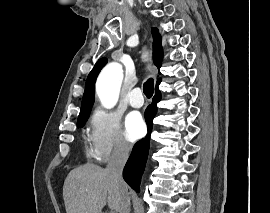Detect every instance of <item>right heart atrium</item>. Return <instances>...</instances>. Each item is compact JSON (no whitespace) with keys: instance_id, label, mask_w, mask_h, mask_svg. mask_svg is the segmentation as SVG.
<instances>
[{"instance_id":"obj_1","label":"right heart atrium","mask_w":270,"mask_h":213,"mask_svg":"<svg viewBox=\"0 0 270 213\" xmlns=\"http://www.w3.org/2000/svg\"><path fill=\"white\" fill-rule=\"evenodd\" d=\"M90 142L93 156L100 162L129 154L131 146L123 137L120 115L96 109L91 117Z\"/></svg>"}]
</instances>
